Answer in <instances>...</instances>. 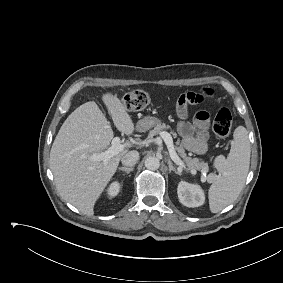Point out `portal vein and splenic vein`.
Returning a JSON list of instances; mask_svg holds the SVG:
<instances>
[{
  "label": "portal vein and splenic vein",
  "instance_id": "obj_1",
  "mask_svg": "<svg viewBox=\"0 0 283 283\" xmlns=\"http://www.w3.org/2000/svg\"><path fill=\"white\" fill-rule=\"evenodd\" d=\"M161 137L164 140L168 151H169V155L171 157V159L180 166V168L185 167L183 161L179 158V156L177 155L175 148H174V144H173V139L171 137V135L168 132H161ZM129 146V144H125L122 145L120 143V138L119 137H115L112 140V145L111 147H109L106 151L101 152L99 154H92L89 156V159L92 161H103L104 163H107V161L114 157L115 155L119 154L124 147Z\"/></svg>",
  "mask_w": 283,
  "mask_h": 283
}]
</instances>
